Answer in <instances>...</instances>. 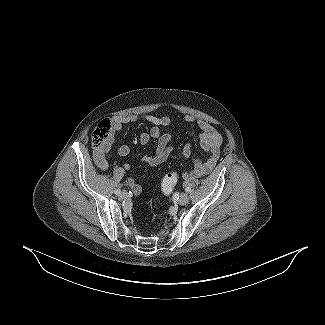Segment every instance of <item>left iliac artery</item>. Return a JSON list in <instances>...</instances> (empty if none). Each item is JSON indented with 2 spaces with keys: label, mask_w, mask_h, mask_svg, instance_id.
<instances>
[{
  "label": "left iliac artery",
  "mask_w": 325,
  "mask_h": 325,
  "mask_svg": "<svg viewBox=\"0 0 325 325\" xmlns=\"http://www.w3.org/2000/svg\"><path fill=\"white\" fill-rule=\"evenodd\" d=\"M185 190H186V192H189V191H190V189H189V188H186Z\"/></svg>",
  "instance_id": "obj_1"
}]
</instances>
